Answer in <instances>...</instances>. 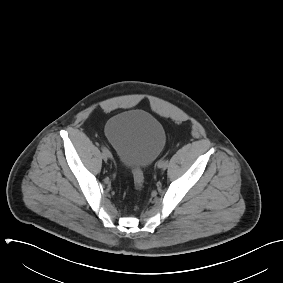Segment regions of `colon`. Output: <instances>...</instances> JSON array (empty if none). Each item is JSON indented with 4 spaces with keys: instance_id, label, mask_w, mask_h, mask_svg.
<instances>
[{
    "instance_id": "obj_1",
    "label": "colon",
    "mask_w": 283,
    "mask_h": 283,
    "mask_svg": "<svg viewBox=\"0 0 283 283\" xmlns=\"http://www.w3.org/2000/svg\"><path fill=\"white\" fill-rule=\"evenodd\" d=\"M133 178L136 190L140 191L144 183L143 172L140 168L133 169Z\"/></svg>"
}]
</instances>
